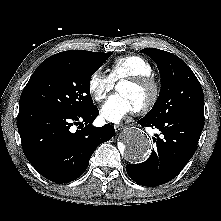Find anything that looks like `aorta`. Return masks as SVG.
<instances>
[{"instance_id": "762f6f07", "label": "aorta", "mask_w": 221, "mask_h": 221, "mask_svg": "<svg viewBox=\"0 0 221 221\" xmlns=\"http://www.w3.org/2000/svg\"><path fill=\"white\" fill-rule=\"evenodd\" d=\"M122 155L130 162H144L151 152V141L146 133L137 128H130L123 137Z\"/></svg>"}]
</instances>
